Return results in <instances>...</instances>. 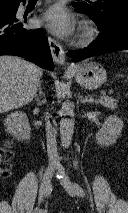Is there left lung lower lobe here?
<instances>
[{"label":"left lung lower lobe","instance_id":"0a47b994","mask_svg":"<svg viewBox=\"0 0 128 213\" xmlns=\"http://www.w3.org/2000/svg\"><path fill=\"white\" fill-rule=\"evenodd\" d=\"M98 29L100 30L99 37L90 46L78 51L68 52V56L73 61H80L95 55L128 49V13L114 18L104 26H98Z\"/></svg>","mask_w":128,"mask_h":213}]
</instances>
